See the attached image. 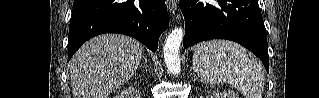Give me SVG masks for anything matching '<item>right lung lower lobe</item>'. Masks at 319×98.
Returning a JSON list of instances; mask_svg holds the SVG:
<instances>
[{"label":"right lung lower lobe","mask_w":319,"mask_h":98,"mask_svg":"<svg viewBox=\"0 0 319 98\" xmlns=\"http://www.w3.org/2000/svg\"><path fill=\"white\" fill-rule=\"evenodd\" d=\"M168 25L164 0H74L68 61L84 42L104 33L132 36L155 52Z\"/></svg>","instance_id":"right-lung-lower-lobe-1"}]
</instances>
